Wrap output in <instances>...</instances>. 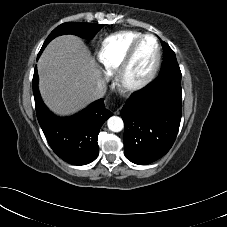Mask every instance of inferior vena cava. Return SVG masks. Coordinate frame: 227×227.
<instances>
[{"label": "inferior vena cava", "instance_id": "1", "mask_svg": "<svg viewBox=\"0 0 227 227\" xmlns=\"http://www.w3.org/2000/svg\"><path fill=\"white\" fill-rule=\"evenodd\" d=\"M106 93V84L104 81H99L95 89H93L91 96L94 100L102 98Z\"/></svg>", "mask_w": 227, "mask_h": 227}]
</instances>
